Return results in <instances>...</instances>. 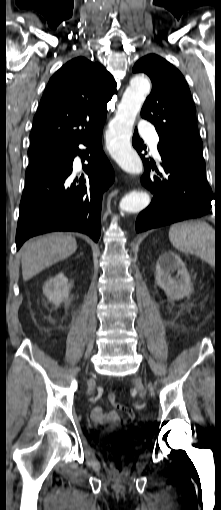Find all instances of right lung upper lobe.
I'll list each match as a JSON object with an SVG mask.
<instances>
[{
	"label": "right lung upper lobe",
	"mask_w": 221,
	"mask_h": 510,
	"mask_svg": "<svg viewBox=\"0 0 221 510\" xmlns=\"http://www.w3.org/2000/svg\"><path fill=\"white\" fill-rule=\"evenodd\" d=\"M116 82L99 63L77 57L49 80L34 116L28 152L65 149L104 124Z\"/></svg>",
	"instance_id": "cb5924a9"
}]
</instances>
